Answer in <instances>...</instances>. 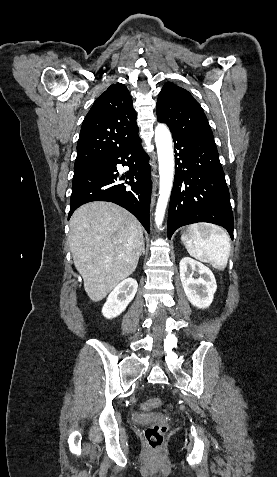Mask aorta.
I'll use <instances>...</instances> for the list:
<instances>
[{
  "label": "aorta",
  "instance_id": "aorta-1",
  "mask_svg": "<svg viewBox=\"0 0 277 477\" xmlns=\"http://www.w3.org/2000/svg\"><path fill=\"white\" fill-rule=\"evenodd\" d=\"M155 142L159 162V197L155 211V223L160 226L163 222L168 200L171 194L174 176V155L172 137L168 127L158 124L155 128Z\"/></svg>",
  "mask_w": 277,
  "mask_h": 477
}]
</instances>
